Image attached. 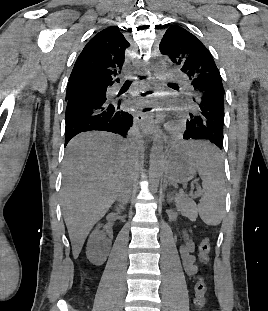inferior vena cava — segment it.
Segmentation results:
<instances>
[{
    "label": "inferior vena cava",
    "instance_id": "1",
    "mask_svg": "<svg viewBox=\"0 0 268 311\" xmlns=\"http://www.w3.org/2000/svg\"><path fill=\"white\" fill-rule=\"evenodd\" d=\"M131 151L135 152L136 148L132 147ZM133 170H134V163H133V161H131V164H130L129 169H128L127 176H126V178H125V180L122 183L121 188H120L119 197L123 203L128 202V200L130 199V196L132 194V189H133L132 172H133Z\"/></svg>",
    "mask_w": 268,
    "mask_h": 311
}]
</instances>
